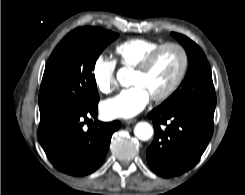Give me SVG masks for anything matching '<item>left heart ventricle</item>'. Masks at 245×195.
I'll return each instance as SVG.
<instances>
[{"instance_id": "left-heart-ventricle-1", "label": "left heart ventricle", "mask_w": 245, "mask_h": 195, "mask_svg": "<svg viewBox=\"0 0 245 195\" xmlns=\"http://www.w3.org/2000/svg\"><path fill=\"white\" fill-rule=\"evenodd\" d=\"M180 65L179 51L175 48H167L157 56L147 71L143 73L134 71L131 83L143 86L152 97L171 85L179 72Z\"/></svg>"}]
</instances>
